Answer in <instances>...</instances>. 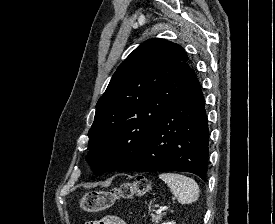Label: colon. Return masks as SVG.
I'll return each mask as SVG.
<instances>
[{
	"mask_svg": "<svg viewBox=\"0 0 275 224\" xmlns=\"http://www.w3.org/2000/svg\"><path fill=\"white\" fill-rule=\"evenodd\" d=\"M150 188V181L144 176L125 182L111 190H95L86 193L80 207L83 211L96 213L110 208L117 200H130L144 195Z\"/></svg>",
	"mask_w": 275,
	"mask_h": 224,
	"instance_id": "1",
	"label": "colon"
}]
</instances>
